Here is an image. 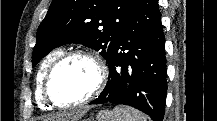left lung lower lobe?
Segmentation results:
<instances>
[{
	"mask_svg": "<svg viewBox=\"0 0 217 121\" xmlns=\"http://www.w3.org/2000/svg\"><path fill=\"white\" fill-rule=\"evenodd\" d=\"M158 0H138L108 60L109 80L90 104L130 105L163 121L167 90Z\"/></svg>",
	"mask_w": 217,
	"mask_h": 121,
	"instance_id": "left-lung-lower-lobe-1",
	"label": "left lung lower lobe"
}]
</instances>
